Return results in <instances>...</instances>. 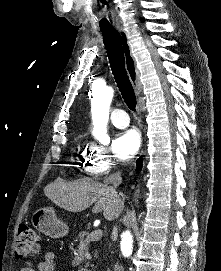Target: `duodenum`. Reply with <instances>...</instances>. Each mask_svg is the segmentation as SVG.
Wrapping results in <instances>:
<instances>
[{
    "label": "duodenum",
    "instance_id": "1",
    "mask_svg": "<svg viewBox=\"0 0 221 271\" xmlns=\"http://www.w3.org/2000/svg\"><path fill=\"white\" fill-rule=\"evenodd\" d=\"M80 271H92V270L87 269V268H84V269H82V270H80Z\"/></svg>",
    "mask_w": 221,
    "mask_h": 271
}]
</instances>
